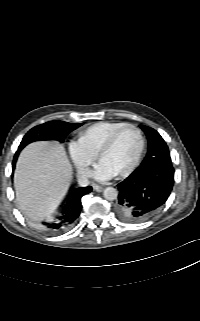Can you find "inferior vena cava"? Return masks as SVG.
<instances>
[{
    "label": "inferior vena cava",
    "instance_id": "obj_1",
    "mask_svg": "<svg viewBox=\"0 0 200 321\" xmlns=\"http://www.w3.org/2000/svg\"><path fill=\"white\" fill-rule=\"evenodd\" d=\"M88 177H89V170L87 168H80L78 170L77 179H78V183L81 186L89 185Z\"/></svg>",
    "mask_w": 200,
    "mask_h": 321
}]
</instances>
